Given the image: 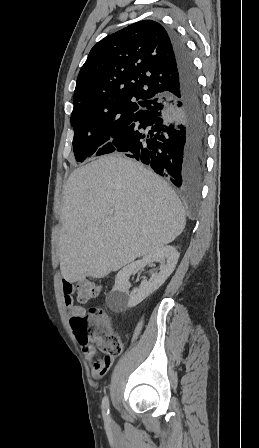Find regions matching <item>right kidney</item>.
Here are the masks:
<instances>
[{"instance_id": "right-kidney-1", "label": "right kidney", "mask_w": 259, "mask_h": 448, "mask_svg": "<svg viewBox=\"0 0 259 448\" xmlns=\"http://www.w3.org/2000/svg\"><path fill=\"white\" fill-rule=\"evenodd\" d=\"M179 260V252L174 246H162L155 250L153 254H147L142 260L132 262L118 272L115 280V286L109 294H107L106 304L113 312H125L127 308H134L140 304L142 300L148 298L155 290H158L165 280L171 276L176 268ZM152 262H160V272L153 274L150 280H142L139 288H135L133 292H129L131 284L128 280L133 274H137L139 270H143L147 264Z\"/></svg>"}]
</instances>
